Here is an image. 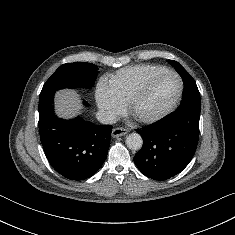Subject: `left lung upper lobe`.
I'll use <instances>...</instances> for the list:
<instances>
[{"mask_svg": "<svg viewBox=\"0 0 235 235\" xmlns=\"http://www.w3.org/2000/svg\"><path fill=\"white\" fill-rule=\"evenodd\" d=\"M168 62L179 73L184 83L183 98L179 109L190 106L201 108L200 93L195 80L178 62L174 60H168Z\"/></svg>", "mask_w": 235, "mask_h": 235, "instance_id": "left-lung-upper-lobe-1", "label": "left lung upper lobe"}]
</instances>
